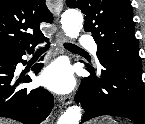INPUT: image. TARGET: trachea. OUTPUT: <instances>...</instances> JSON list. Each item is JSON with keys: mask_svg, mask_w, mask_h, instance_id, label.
Listing matches in <instances>:
<instances>
[{"mask_svg": "<svg viewBox=\"0 0 145 124\" xmlns=\"http://www.w3.org/2000/svg\"><path fill=\"white\" fill-rule=\"evenodd\" d=\"M64 46L67 48V49H75V50H82L80 47L74 45V44H71V43H64Z\"/></svg>", "mask_w": 145, "mask_h": 124, "instance_id": "obj_1", "label": "trachea"}]
</instances>
